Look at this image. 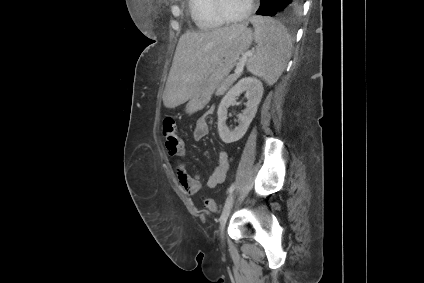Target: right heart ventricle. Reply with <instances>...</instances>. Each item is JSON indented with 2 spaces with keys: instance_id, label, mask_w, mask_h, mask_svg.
<instances>
[{
  "instance_id": "obj_1",
  "label": "right heart ventricle",
  "mask_w": 424,
  "mask_h": 283,
  "mask_svg": "<svg viewBox=\"0 0 424 283\" xmlns=\"http://www.w3.org/2000/svg\"><path fill=\"white\" fill-rule=\"evenodd\" d=\"M188 8L193 22L200 30H215L224 25L214 11L213 0H188Z\"/></svg>"
}]
</instances>
